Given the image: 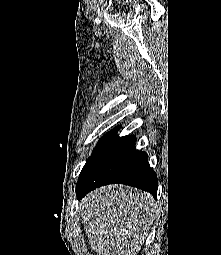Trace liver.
Segmentation results:
<instances>
[{"label": "liver", "instance_id": "obj_1", "mask_svg": "<svg viewBox=\"0 0 221 255\" xmlns=\"http://www.w3.org/2000/svg\"><path fill=\"white\" fill-rule=\"evenodd\" d=\"M79 210L97 255H137L159 212L150 194L124 185L90 192Z\"/></svg>", "mask_w": 221, "mask_h": 255}]
</instances>
